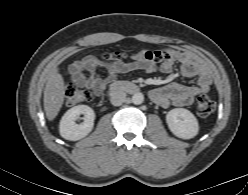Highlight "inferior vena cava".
I'll return each instance as SVG.
<instances>
[{"label":"inferior vena cava","instance_id":"inferior-vena-cava-1","mask_svg":"<svg viewBox=\"0 0 248 195\" xmlns=\"http://www.w3.org/2000/svg\"><path fill=\"white\" fill-rule=\"evenodd\" d=\"M126 100V93L122 90H116L111 94V104L114 106L122 105Z\"/></svg>","mask_w":248,"mask_h":195}]
</instances>
